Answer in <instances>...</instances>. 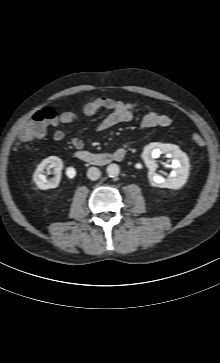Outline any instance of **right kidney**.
Masks as SVG:
<instances>
[{
  "label": "right kidney",
  "mask_w": 220,
  "mask_h": 363,
  "mask_svg": "<svg viewBox=\"0 0 220 363\" xmlns=\"http://www.w3.org/2000/svg\"><path fill=\"white\" fill-rule=\"evenodd\" d=\"M53 168L55 177L51 180H47L44 175V169L46 167ZM63 169V161L56 156H50L44 159L35 170L33 174V180L37 187L42 190L54 189L59 185L61 178V170Z\"/></svg>",
  "instance_id": "1"
}]
</instances>
